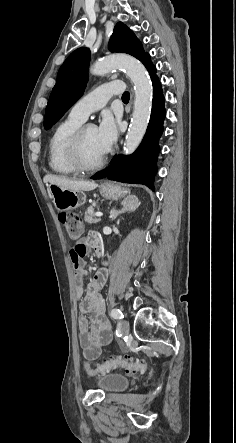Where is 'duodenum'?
Wrapping results in <instances>:
<instances>
[{
	"instance_id": "duodenum-1",
	"label": "duodenum",
	"mask_w": 236,
	"mask_h": 443,
	"mask_svg": "<svg viewBox=\"0 0 236 443\" xmlns=\"http://www.w3.org/2000/svg\"><path fill=\"white\" fill-rule=\"evenodd\" d=\"M98 254H100V249L97 250Z\"/></svg>"
}]
</instances>
